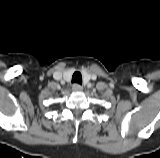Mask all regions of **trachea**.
I'll return each instance as SVG.
<instances>
[{"label":"trachea","mask_w":160,"mask_h":158,"mask_svg":"<svg viewBox=\"0 0 160 158\" xmlns=\"http://www.w3.org/2000/svg\"><path fill=\"white\" fill-rule=\"evenodd\" d=\"M72 82L77 84H82V75L80 72L78 71L74 72L72 76Z\"/></svg>","instance_id":"1"}]
</instances>
